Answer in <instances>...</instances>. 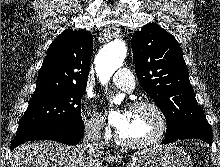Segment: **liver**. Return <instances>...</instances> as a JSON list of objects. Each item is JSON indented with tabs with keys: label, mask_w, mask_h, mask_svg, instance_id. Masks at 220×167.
Here are the masks:
<instances>
[{
	"label": "liver",
	"mask_w": 220,
	"mask_h": 167,
	"mask_svg": "<svg viewBox=\"0 0 220 167\" xmlns=\"http://www.w3.org/2000/svg\"><path fill=\"white\" fill-rule=\"evenodd\" d=\"M100 157L86 155L80 146L34 141L13 151L9 167H102Z\"/></svg>",
	"instance_id": "6515ba94"
}]
</instances>
